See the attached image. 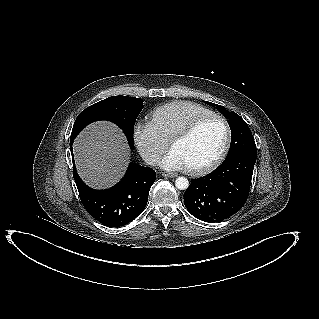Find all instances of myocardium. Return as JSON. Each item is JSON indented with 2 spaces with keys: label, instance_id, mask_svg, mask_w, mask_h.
Here are the masks:
<instances>
[{
  "label": "myocardium",
  "instance_id": "f54148a6",
  "mask_svg": "<svg viewBox=\"0 0 319 319\" xmlns=\"http://www.w3.org/2000/svg\"><path fill=\"white\" fill-rule=\"evenodd\" d=\"M218 120L220 121L224 128H225V141L224 144L218 153V155L208 164L201 166V167H185V171L190 174V175H204L207 174L211 171H213L215 168H217L224 158L226 157L228 150L230 148L231 140H232V131L230 128V125L228 121L221 115L219 114H208V115H203L200 117H197L193 119L190 123H188L184 128H182L179 132H177L169 141V147L172 149V147L177 144L178 142H181L191 136L193 132L197 129L199 125H201L203 122H206L208 120Z\"/></svg>",
  "mask_w": 319,
  "mask_h": 319
}]
</instances>
